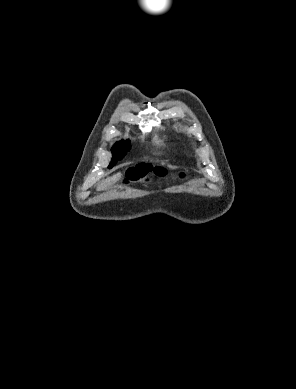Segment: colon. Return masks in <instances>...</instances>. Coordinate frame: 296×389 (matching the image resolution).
<instances>
[{
  "instance_id": "1",
  "label": "colon",
  "mask_w": 296,
  "mask_h": 389,
  "mask_svg": "<svg viewBox=\"0 0 296 389\" xmlns=\"http://www.w3.org/2000/svg\"><path fill=\"white\" fill-rule=\"evenodd\" d=\"M151 172L155 173L158 176H165L167 174V171L163 168H153L149 164L142 163L130 168L127 172L126 178L127 181L137 182L145 179Z\"/></svg>"
}]
</instances>
